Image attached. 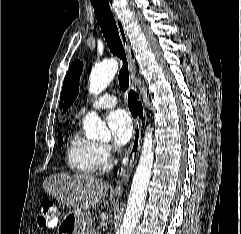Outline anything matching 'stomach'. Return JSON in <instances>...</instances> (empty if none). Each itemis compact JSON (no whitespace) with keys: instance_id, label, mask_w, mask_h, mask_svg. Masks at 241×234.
<instances>
[{"instance_id":"obj_1","label":"stomach","mask_w":241,"mask_h":234,"mask_svg":"<svg viewBox=\"0 0 241 234\" xmlns=\"http://www.w3.org/2000/svg\"><path fill=\"white\" fill-rule=\"evenodd\" d=\"M88 229V215L82 210L69 212L59 226L62 234H85Z\"/></svg>"}]
</instances>
